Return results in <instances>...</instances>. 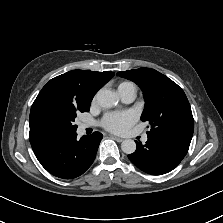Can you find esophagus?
Segmentation results:
<instances>
[{
  "mask_svg": "<svg viewBox=\"0 0 223 223\" xmlns=\"http://www.w3.org/2000/svg\"><path fill=\"white\" fill-rule=\"evenodd\" d=\"M110 137L113 139V140H116L117 142H122L124 139L122 138H119L117 136H114V135H110Z\"/></svg>",
  "mask_w": 223,
  "mask_h": 223,
  "instance_id": "34e87169",
  "label": "esophagus"
}]
</instances>
